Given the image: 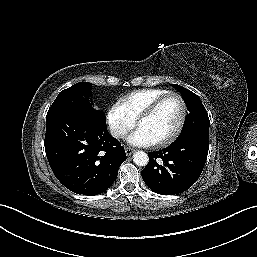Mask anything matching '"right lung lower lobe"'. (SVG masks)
Returning <instances> with one entry per match:
<instances>
[{
  "label": "right lung lower lobe",
  "instance_id": "right-lung-lower-lobe-1",
  "mask_svg": "<svg viewBox=\"0 0 257 257\" xmlns=\"http://www.w3.org/2000/svg\"><path fill=\"white\" fill-rule=\"evenodd\" d=\"M45 151L56 178L70 191L96 195L115 181L126 153L91 114L66 109L46 116Z\"/></svg>",
  "mask_w": 257,
  "mask_h": 257
}]
</instances>
